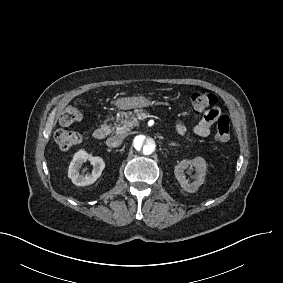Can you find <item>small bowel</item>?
<instances>
[{
  "instance_id": "small-bowel-1",
  "label": "small bowel",
  "mask_w": 283,
  "mask_h": 283,
  "mask_svg": "<svg viewBox=\"0 0 283 283\" xmlns=\"http://www.w3.org/2000/svg\"><path fill=\"white\" fill-rule=\"evenodd\" d=\"M227 110L228 105L225 102H220L217 105L215 103H210L205 109V114L194 126V133L200 137H207L210 133L213 121L222 117Z\"/></svg>"
}]
</instances>
